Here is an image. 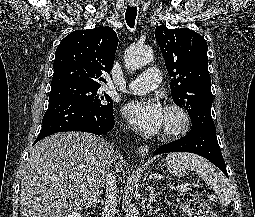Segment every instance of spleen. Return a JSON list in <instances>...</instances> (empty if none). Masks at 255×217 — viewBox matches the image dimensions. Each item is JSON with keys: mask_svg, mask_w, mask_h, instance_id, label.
I'll return each instance as SVG.
<instances>
[{"mask_svg": "<svg viewBox=\"0 0 255 217\" xmlns=\"http://www.w3.org/2000/svg\"><path fill=\"white\" fill-rule=\"evenodd\" d=\"M166 161H176L186 165L210 186L219 196L220 205L226 207L232 200V185L229 180L206 159L189 153H171Z\"/></svg>", "mask_w": 255, "mask_h": 217, "instance_id": "1", "label": "spleen"}]
</instances>
